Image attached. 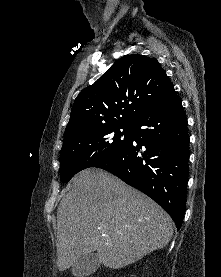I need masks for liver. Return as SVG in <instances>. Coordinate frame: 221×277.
<instances>
[{
  "instance_id": "obj_1",
  "label": "liver",
  "mask_w": 221,
  "mask_h": 277,
  "mask_svg": "<svg viewBox=\"0 0 221 277\" xmlns=\"http://www.w3.org/2000/svg\"><path fill=\"white\" fill-rule=\"evenodd\" d=\"M71 182L57 211L59 271L96 251L100 263L119 269L169 243L173 221L145 194L98 168Z\"/></svg>"
}]
</instances>
